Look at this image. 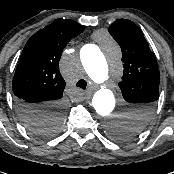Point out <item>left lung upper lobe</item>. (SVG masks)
Listing matches in <instances>:
<instances>
[{"label": "left lung upper lobe", "instance_id": "obj_1", "mask_svg": "<svg viewBox=\"0 0 174 174\" xmlns=\"http://www.w3.org/2000/svg\"><path fill=\"white\" fill-rule=\"evenodd\" d=\"M108 31L122 50L124 73L119 87L130 112L125 127L114 126L110 133L126 139L142 130L154 113L159 95V69L143 33L132 21L117 20Z\"/></svg>", "mask_w": 174, "mask_h": 174}]
</instances>
